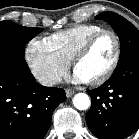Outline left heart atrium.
<instances>
[{
	"instance_id": "obj_1",
	"label": "left heart atrium",
	"mask_w": 139,
	"mask_h": 139,
	"mask_svg": "<svg viewBox=\"0 0 139 139\" xmlns=\"http://www.w3.org/2000/svg\"><path fill=\"white\" fill-rule=\"evenodd\" d=\"M74 80L76 82H81V83H86V82L90 81L86 76H84L77 70H75V72H74Z\"/></svg>"
}]
</instances>
